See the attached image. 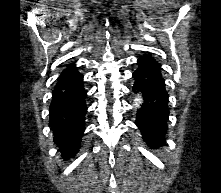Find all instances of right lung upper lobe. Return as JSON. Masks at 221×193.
Instances as JSON below:
<instances>
[{"mask_svg": "<svg viewBox=\"0 0 221 193\" xmlns=\"http://www.w3.org/2000/svg\"><path fill=\"white\" fill-rule=\"evenodd\" d=\"M74 66H75L74 63H70V64L67 65V68L65 70H69V69L73 68Z\"/></svg>", "mask_w": 221, "mask_h": 193, "instance_id": "obj_1", "label": "right lung upper lobe"}]
</instances>
